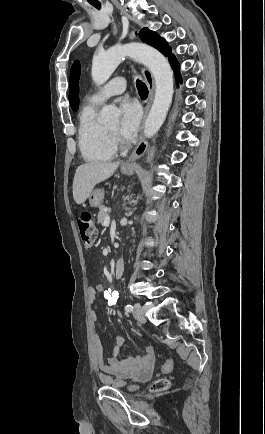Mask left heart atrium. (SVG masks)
Returning a JSON list of instances; mask_svg holds the SVG:
<instances>
[{
	"label": "left heart atrium",
	"mask_w": 265,
	"mask_h": 434,
	"mask_svg": "<svg viewBox=\"0 0 265 434\" xmlns=\"http://www.w3.org/2000/svg\"><path fill=\"white\" fill-rule=\"evenodd\" d=\"M120 111L119 133L124 139L130 140L138 131L142 118L141 107L135 101L123 99L120 104Z\"/></svg>",
	"instance_id": "obj_1"
}]
</instances>
